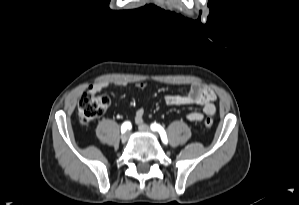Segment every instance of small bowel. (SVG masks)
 I'll use <instances>...</instances> for the list:
<instances>
[{
	"label": "small bowel",
	"instance_id": "c3829d8e",
	"mask_svg": "<svg viewBox=\"0 0 299 205\" xmlns=\"http://www.w3.org/2000/svg\"><path fill=\"white\" fill-rule=\"evenodd\" d=\"M106 82H98L92 86V89L99 92L107 87ZM138 88L140 91L145 92L147 85L139 83ZM167 105L180 106V105H199L202 107V112H190L187 115L188 120L192 122H200L205 116H213L216 112V94L213 90L195 83L192 84L190 90L186 94H167L164 98ZM145 111L139 108L136 111V123H141L144 119Z\"/></svg>",
	"mask_w": 299,
	"mask_h": 205
}]
</instances>
